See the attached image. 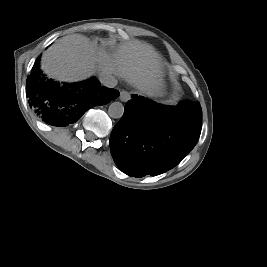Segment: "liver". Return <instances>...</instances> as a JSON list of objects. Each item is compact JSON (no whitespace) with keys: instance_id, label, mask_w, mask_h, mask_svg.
Returning a JSON list of instances; mask_svg holds the SVG:
<instances>
[{"instance_id":"1","label":"liver","mask_w":267,"mask_h":267,"mask_svg":"<svg viewBox=\"0 0 267 267\" xmlns=\"http://www.w3.org/2000/svg\"><path fill=\"white\" fill-rule=\"evenodd\" d=\"M41 69L52 79L76 82L96 70L118 74L142 92H151L160 81L161 63L154 48L139 40L118 46L112 55L81 34L58 39L42 55Z\"/></svg>"}]
</instances>
